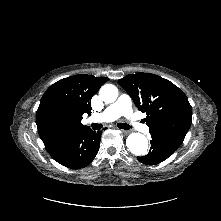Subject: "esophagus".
I'll use <instances>...</instances> for the list:
<instances>
[{"label":"esophagus","instance_id":"esophagus-1","mask_svg":"<svg viewBox=\"0 0 221 221\" xmlns=\"http://www.w3.org/2000/svg\"><path fill=\"white\" fill-rule=\"evenodd\" d=\"M121 132H122L123 134H125V135H127V134H129V133H130V131H129V130H123V129H121Z\"/></svg>","mask_w":221,"mask_h":221}]
</instances>
